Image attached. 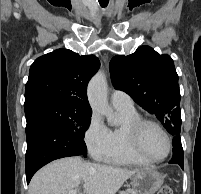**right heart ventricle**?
<instances>
[{"mask_svg": "<svg viewBox=\"0 0 201 194\" xmlns=\"http://www.w3.org/2000/svg\"><path fill=\"white\" fill-rule=\"evenodd\" d=\"M121 122L111 128L109 132V146L102 159L116 165L142 166L150 162L140 157L132 147L130 140V125L141 118L135 108L116 107Z\"/></svg>", "mask_w": 201, "mask_h": 194, "instance_id": "right-heart-ventricle-1", "label": "right heart ventricle"}]
</instances>
